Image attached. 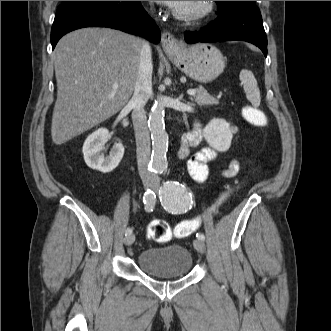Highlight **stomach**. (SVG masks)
I'll list each match as a JSON object with an SVG mask.
<instances>
[{
	"label": "stomach",
	"mask_w": 331,
	"mask_h": 331,
	"mask_svg": "<svg viewBox=\"0 0 331 331\" xmlns=\"http://www.w3.org/2000/svg\"><path fill=\"white\" fill-rule=\"evenodd\" d=\"M169 57L182 72L200 83L211 82L225 68L221 51L209 43L180 46Z\"/></svg>",
	"instance_id": "obj_1"
}]
</instances>
